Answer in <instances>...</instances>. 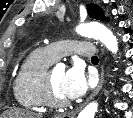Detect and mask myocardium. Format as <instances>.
<instances>
[{
	"mask_svg": "<svg viewBox=\"0 0 133 118\" xmlns=\"http://www.w3.org/2000/svg\"><path fill=\"white\" fill-rule=\"evenodd\" d=\"M42 99L46 106L52 109H62L69 105L67 99H59L53 94L50 71H46L42 81Z\"/></svg>",
	"mask_w": 133,
	"mask_h": 118,
	"instance_id": "myocardium-1",
	"label": "myocardium"
}]
</instances>
